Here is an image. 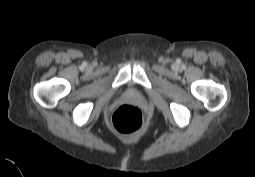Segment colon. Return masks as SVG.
Masks as SVG:
<instances>
[{"label": "colon", "instance_id": "5ec220e1", "mask_svg": "<svg viewBox=\"0 0 255 177\" xmlns=\"http://www.w3.org/2000/svg\"><path fill=\"white\" fill-rule=\"evenodd\" d=\"M111 123L119 133L131 134L138 131L143 124L140 109L133 104L119 106L112 115Z\"/></svg>", "mask_w": 255, "mask_h": 177}]
</instances>
